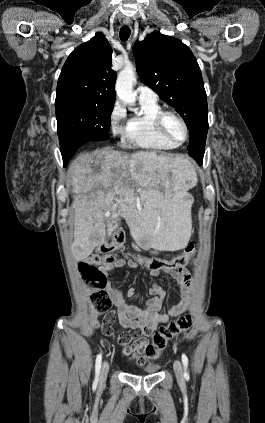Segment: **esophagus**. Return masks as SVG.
<instances>
[{
    "label": "esophagus",
    "mask_w": 265,
    "mask_h": 423,
    "mask_svg": "<svg viewBox=\"0 0 265 423\" xmlns=\"http://www.w3.org/2000/svg\"><path fill=\"white\" fill-rule=\"evenodd\" d=\"M123 24H124V25H130V24H131V20H130L129 18H125V19L123 20Z\"/></svg>",
    "instance_id": "esophagus-1"
}]
</instances>
